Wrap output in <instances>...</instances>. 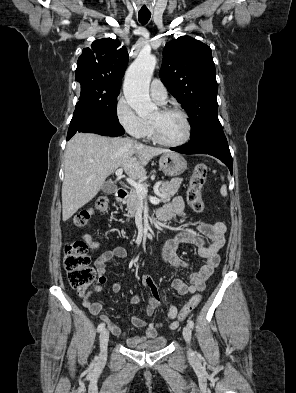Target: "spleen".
<instances>
[{"label":"spleen","instance_id":"spleen-1","mask_svg":"<svg viewBox=\"0 0 296 393\" xmlns=\"http://www.w3.org/2000/svg\"><path fill=\"white\" fill-rule=\"evenodd\" d=\"M222 179H223V177H222ZM220 193H221L222 196H227V187H226V185H223L221 187Z\"/></svg>","mask_w":296,"mask_h":393}]
</instances>
